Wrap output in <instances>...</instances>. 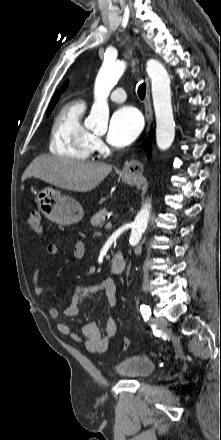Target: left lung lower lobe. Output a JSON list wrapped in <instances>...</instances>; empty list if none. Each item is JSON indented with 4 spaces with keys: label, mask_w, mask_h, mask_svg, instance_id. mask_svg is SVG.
Returning <instances> with one entry per match:
<instances>
[{
    "label": "left lung lower lobe",
    "mask_w": 221,
    "mask_h": 440,
    "mask_svg": "<svg viewBox=\"0 0 221 440\" xmlns=\"http://www.w3.org/2000/svg\"><path fill=\"white\" fill-rule=\"evenodd\" d=\"M145 147L147 148V150H149V144L148 143L145 144Z\"/></svg>",
    "instance_id": "left-lung-lower-lobe-1"
}]
</instances>
